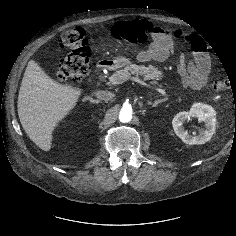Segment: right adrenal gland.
Returning <instances> with one entry per match:
<instances>
[{"label":"right adrenal gland","mask_w":236,"mask_h":236,"mask_svg":"<svg viewBox=\"0 0 236 236\" xmlns=\"http://www.w3.org/2000/svg\"><path fill=\"white\" fill-rule=\"evenodd\" d=\"M86 100L90 101L93 104H98L100 102L99 100H94L92 97H86L84 101Z\"/></svg>","instance_id":"1"}]
</instances>
